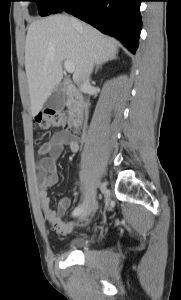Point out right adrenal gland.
Returning a JSON list of instances; mask_svg holds the SVG:
<instances>
[{
    "instance_id": "2a0ac1e0",
    "label": "right adrenal gland",
    "mask_w": 181,
    "mask_h": 300,
    "mask_svg": "<svg viewBox=\"0 0 181 300\" xmlns=\"http://www.w3.org/2000/svg\"><path fill=\"white\" fill-rule=\"evenodd\" d=\"M115 58V57H114ZM105 62H99L96 66V69H95V74L97 73L98 69L102 67V65L104 64Z\"/></svg>"
}]
</instances>
